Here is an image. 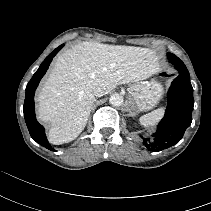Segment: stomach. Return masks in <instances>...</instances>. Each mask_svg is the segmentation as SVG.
<instances>
[{
	"mask_svg": "<svg viewBox=\"0 0 211 211\" xmlns=\"http://www.w3.org/2000/svg\"><path fill=\"white\" fill-rule=\"evenodd\" d=\"M131 105L137 111H149L161 100L164 90L156 80L138 82L128 87Z\"/></svg>",
	"mask_w": 211,
	"mask_h": 211,
	"instance_id": "obj_1",
	"label": "stomach"
}]
</instances>
